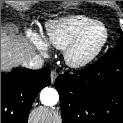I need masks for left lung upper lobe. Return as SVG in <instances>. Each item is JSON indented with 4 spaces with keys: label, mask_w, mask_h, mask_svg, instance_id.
Listing matches in <instances>:
<instances>
[{
    "label": "left lung upper lobe",
    "mask_w": 123,
    "mask_h": 123,
    "mask_svg": "<svg viewBox=\"0 0 123 123\" xmlns=\"http://www.w3.org/2000/svg\"><path fill=\"white\" fill-rule=\"evenodd\" d=\"M118 31L121 34V37L117 40V45L114 50L123 49V32L121 31V29H119Z\"/></svg>",
    "instance_id": "left-lung-upper-lobe-1"
}]
</instances>
